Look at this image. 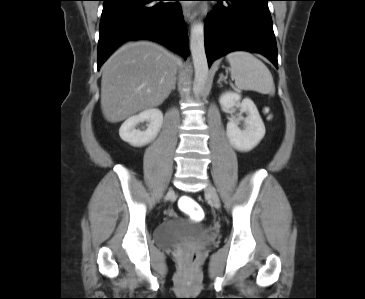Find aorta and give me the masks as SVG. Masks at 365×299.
I'll return each instance as SVG.
<instances>
[{"label": "aorta", "instance_id": "762f6f07", "mask_svg": "<svg viewBox=\"0 0 365 299\" xmlns=\"http://www.w3.org/2000/svg\"><path fill=\"white\" fill-rule=\"evenodd\" d=\"M190 48L195 70L194 88L200 92L203 90L208 78V62L204 46V25L201 20H195L192 23Z\"/></svg>", "mask_w": 365, "mask_h": 299}]
</instances>
